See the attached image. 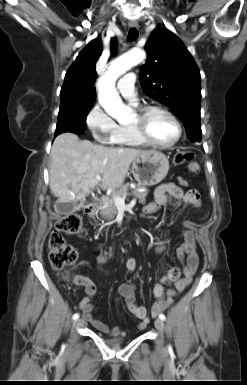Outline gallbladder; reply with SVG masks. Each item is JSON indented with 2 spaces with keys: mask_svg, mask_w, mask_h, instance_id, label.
<instances>
[{
  "mask_svg": "<svg viewBox=\"0 0 247 385\" xmlns=\"http://www.w3.org/2000/svg\"><path fill=\"white\" fill-rule=\"evenodd\" d=\"M86 204H87L86 202H78V201H71L67 203H62L57 201L55 203V211L58 214L69 215L78 211L81 208H84Z\"/></svg>",
  "mask_w": 247,
  "mask_h": 385,
  "instance_id": "1",
  "label": "gallbladder"
}]
</instances>
